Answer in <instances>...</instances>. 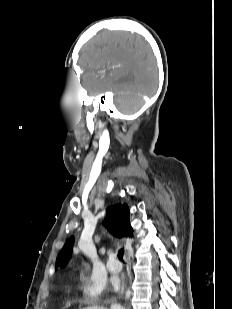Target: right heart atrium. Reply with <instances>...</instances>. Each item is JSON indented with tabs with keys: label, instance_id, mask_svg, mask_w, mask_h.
I'll list each match as a JSON object with an SVG mask.
<instances>
[{
	"label": "right heart atrium",
	"instance_id": "obj_1",
	"mask_svg": "<svg viewBox=\"0 0 232 309\" xmlns=\"http://www.w3.org/2000/svg\"><path fill=\"white\" fill-rule=\"evenodd\" d=\"M80 289L87 303L96 304L102 299V288L90 280H83Z\"/></svg>",
	"mask_w": 232,
	"mask_h": 309
}]
</instances>
